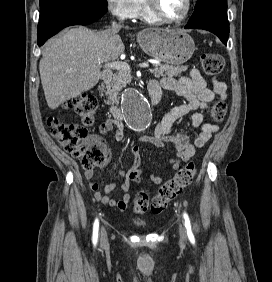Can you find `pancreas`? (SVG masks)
I'll use <instances>...</instances> for the list:
<instances>
[{
    "label": "pancreas",
    "mask_w": 272,
    "mask_h": 282,
    "mask_svg": "<svg viewBox=\"0 0 272 282\" xmlns=\"http://www.w3.org/2000/svg\"><path fill=\"white\" fill-rule=\"evenodd\" d=\"M186 70V66L155 64L153 68L150 69V72L155 77H176ZM130 82V71L120 70L115 73L110 80V83L107 85L108 103H117L120 91Z\"/></svg>",
    "instance_id": "cf45deb5"
}]
</instances>
